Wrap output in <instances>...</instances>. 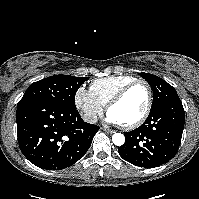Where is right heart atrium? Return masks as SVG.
Wrapping results in <instances>:
<instances>
[{"label":"right heart atrium","instance_id":"obj_1","mask_svg":"<svg viewBox=\"0 0 199 199\" xmlns=\"http://www.w3.org/2000/svg\"><path fill=\"white\" fill-rule=\"evenodd\" d=\"M75 104L83 118L89 123L96 122L104 109V106L92 95L90 90L84 87H79L76 91Z\"/></svg>","mask_w":199,"mask_h":199}]
</instances>
